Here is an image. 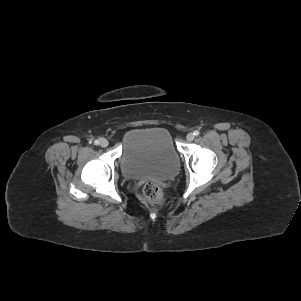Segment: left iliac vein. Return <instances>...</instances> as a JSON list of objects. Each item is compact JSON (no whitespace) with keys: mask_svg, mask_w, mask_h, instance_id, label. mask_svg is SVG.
<instances>
[{"mask_svg":"<svg viewBox=\"0 0 301 301\" xmlns=\"http://www.w3.org/2000/svg\"><path fill=\"white\" fill-rule=\"evenodd\" d=\"M187 141L191 142L194 140V134L193 133H188L186 136Z\"/></svg>","mask_w":301,"mask_h":301,"instance_id":"left-iliac-vein-1","label":"left iliac vein"}]
</instances>
